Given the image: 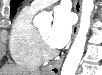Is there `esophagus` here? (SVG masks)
<instances>
[{"instance_id":"obj_1","label":"esophagus","mask_w":102,"mask_h":75,"mask_svg":"<svg viewBox=\"0 0 102 75\" xmlns=\"http://www.w3.org/2000/svg\"><path fill=\"white\" fill-rule=\"evenodd\" d=\"M74 9L77 12V14L80 16L81 13V0H75L74 3ZM79 24L76 25V27L73 30V37L76 36L78 31ZM64 57H61L58 61H56L53 65H50L44 69V71L49 75H58L60 72V68L62 66Z\"/></svg>"}]
</instances>
